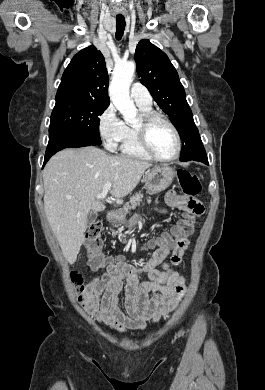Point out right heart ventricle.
I'll use <instances>...</instances> for the list:
<instances>
[{"label": "right heart ventricle", "instance_id": "1", "mask_svg": "<svg viewBox=\"0 0 265 390\" xmlns=\"http://www.w3.org/2000/svg\"><path fill=\"white\" fill-rule=\"evenodd\" d=\"M142 113L150 112V107L138 106ZM119 150L122 155L138 160L150 161L152 158L145 153L140 146L135 126L125 125L123 137L119 143Z\"/></svg>", "mask_w": 265, "mask_h": 390}]
</instances>
